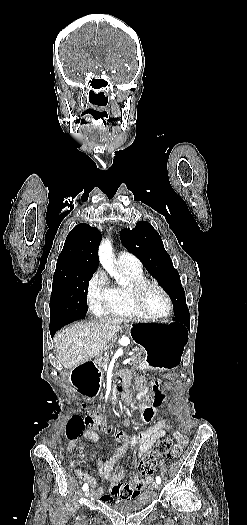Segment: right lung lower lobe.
I'll list each match as a JSON object with an SVG mask.
<instances>
[{
    "label": "right lung lower lobe",
    "instance_id": "98d812e1",
    "mask_svg": "<svg viewBox=\"0 0 247 525\" xmlns=\"http://www.w3.org/2000/svg\"><path fill=\"white\" fill-rule=\"evenodd\" d=\"M61 327H62V326H59V325L54 326V327H50V333H51V336L53 337L54 334H55V332H56L58 329H60Z\"/></svg>",
    "mask_w": 247,
    "mask_h": 525
}]
</instances>
